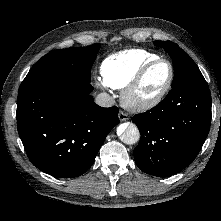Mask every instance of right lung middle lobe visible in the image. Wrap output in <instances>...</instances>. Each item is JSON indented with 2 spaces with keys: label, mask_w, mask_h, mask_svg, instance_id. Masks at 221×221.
Masks as SVG:
<instances>
[{
  "label": "right lung middle lobe",
  "mask_w": 221,
  "mask_h": 221,
  "mask_svg": "<svg viewBox=\"0 0 221 221\" xmlns=\"http://www.w3.org/2000/svg\"><path fill=\"white\" fill-rule=\"evenodd\" d=\"M99 48L96 43L46 54L29 71L19 91L51 84L90 83L91 67Z\"/></svg>",
  "instance_id": "right-lung-middle-lobe-1"
}]
</instances>
